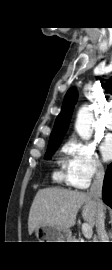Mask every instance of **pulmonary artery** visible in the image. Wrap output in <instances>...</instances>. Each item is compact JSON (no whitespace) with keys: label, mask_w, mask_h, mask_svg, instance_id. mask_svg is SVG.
Listing matches in <instances>:
<instances>
[{"label":"pulmonary artery","mask_w":112,"mask_h":270,"mask_svg":"<svg viewBox=\"0 0 112 270\" xmlns=\"http://www.w3.org/2000/svg\"><path fill=\"white\" fill-rule=\"evenodd\" d=\"M106 127L109 129V130H112V111L110 112L109 114V119L106 123Z\"/></svg>","instance_id":"obj_1"}]
</instances>
